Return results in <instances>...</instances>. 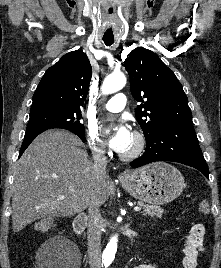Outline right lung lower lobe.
I'll return each mask as SVG.
<instances>
[{
  "label": "right lung lower lobe",
  "instance_id": "98d812e1",
  "mask_svg": "<svg viewBox=\"0 0 221 268\" xmlns=\"http://www.w3.org/2000/svg\"><path fill=\"white\" fill-rule=\"evenodd\" d=\"M50 128H36V129H30L27 130L25 132V136H24V140L20 149V154L19 157L23 154V152L25 151V149L29 146V144L34 140V138L36 136H38L40 133L48 130ZM73 133H75L76 135H78L80 137V139L85 142V136L84 134H80L79 132L76 131H71Z\"/></svg>",
  "mask_w": 221,
  "mask_h": 268
}]
</instances>
